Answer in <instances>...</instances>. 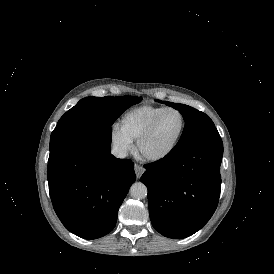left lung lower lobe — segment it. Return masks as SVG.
<instances>
[{
  "instance_id": "left-lung-lower-lobe-1",
  "label": "left lung lower lobe",
  "mask_w": 274,
  "mask_h": 274,
  "mask_svg": "<svg viewBox=\"0 0 274 274\" xmlns=\"http://www.w3.org/2000/svg\"><path fill=\"white\" fill-rule=\"evenodd\" d=\"M222 156V140H210L144 166L141 181L148 188L150 219L159 233L185 238L208 222L219 201Z\"/></svg>"
}]
</instances>
